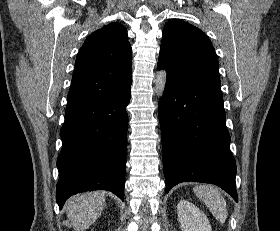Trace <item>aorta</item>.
<instances>
[{
  "mask_svg": "<svg viewBox=\"0 0 280 231\" xmlns=\"http://www.w3.org/2000/svg\"><path fill=\"white\" fill-rule=\"evenodd\" d=\"M167 74L165 70H160L157 72V76L155 78V90L157 96H163L164 88L166 86Z\"/></svg>",
  "mask_w": 280,
  "mask_h": 231,
  "instance_id": "aorta-1",
  "label": "aorta"
}]
</instances>
